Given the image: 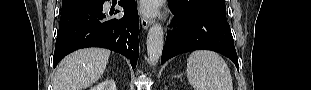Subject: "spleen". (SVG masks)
<instances>
[{"mask_svg": "<svg viewBox=\"0 0 311 90\" xmlns=\"http://www.w3.org/2000/svg\"><path fill=\"white\" fill-rule=\"evenodd\" d=\"M187 78L194 90H232V77L224 59L215 52L198 50L187 60Z\"/></svg>", "mask_w": 311, "mask_h": 90, "instance_id": "spleen-1", "label": "spleen"}]
</instances>
